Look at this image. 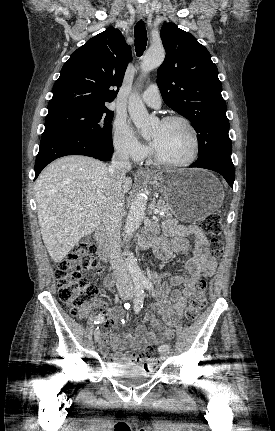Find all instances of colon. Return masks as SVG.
<instances>
[{
    "label": "colon",
    "instance_id": "obj_1",
    "mask_svg": "<svg viewBox=\"0 0 275 431\" xmlns=\"http://www.w3.org/2000/svg\"><path fill=\"white\" fill-rule=\"evenodd\" d=\"M199 225L203 233L212 236L208 246L209 254L214 258L220 257L223 252V242L218 237L222 232L220 217L217 214H209L201 219ZM95 253L96 247L93 239L86 237L80 240L66 258L59 263L54 273L60 300L78 318L87 317L90 306L98 293L97 287L82 277L84 271L102 272ZM206 288V281L200 280L198 290L190 297L185 312L187 321H195L205 307ZM142 360L147 368H154L158 364L151 347H147L143 351Z\"/></svg>",
    "mask_w": 275,
    "mask_h": 431
}]
</instances>
